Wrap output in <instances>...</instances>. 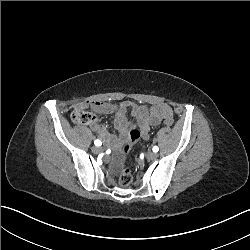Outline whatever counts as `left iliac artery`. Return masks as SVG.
I'll list each match as a JSON object with an SVG mask.
<instances>
[{"label": "left iliac artery", "mask_w": 250, "mask_h": 250, "mask_svg": "<svg viewBox=\"0 0 250 250\" xmlns=\"http://www.w3.org/2000/svg\"><path fill=\"white\" fill-rule=\"evenodd\" d=\"M158 151H159V148H158L157 146H154V147H153V152L156 153V152H158Z\"/></svg>", "instance_id": "left-iliac-artery-1"}]
</instances>
